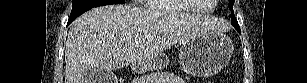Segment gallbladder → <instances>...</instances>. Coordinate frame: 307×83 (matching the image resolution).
<instances>
[{
	"mask_svg": "<svg viewBox=\"0 0 307 83\" xmlns=\"http://www.w3.org/2000/svg\"><path fill=\"white\" fill-rule=\"evenodd\" d=\"M115 81V74L104 69H89L82 77V83H115Z\"/></svg>",
	"mask_w": 307,
	"mask_h": 83,
	"instance_id": "bac80fb5",
	"label": "gallbladder"
}]
</instances>
